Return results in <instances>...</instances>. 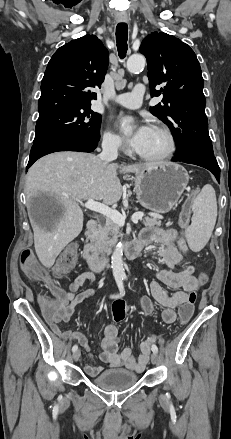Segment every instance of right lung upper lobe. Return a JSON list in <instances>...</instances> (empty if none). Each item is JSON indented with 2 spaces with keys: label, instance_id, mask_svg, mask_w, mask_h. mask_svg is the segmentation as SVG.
<instances>
[{
  "label": "right lung upper lobe",
  "instance_id": "obj_1",
  "mask_svg": "<svg viewBox=\"0 0 231 439\" xmlns=\"http://www.w3.org/2000/svg\"><path fill=\"white\" fill-rule=\"evenodd\" d=\"M109 61L108 50L95 35H86L60 47L50 59L41 83L39 117L55 111L91 106L101 87Z\"/></svg>",
  "mask_w": 231,
  "mask_h": 439
}]
</instances>
